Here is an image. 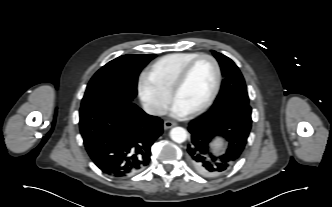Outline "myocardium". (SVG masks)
Wrapping results in <instances>:
<instances>
[{
	"mask_svg": "<svg viewBox=\"0 0 332 207\" xmlns=\"http://www.w3.org/2000/svg\"><path fill=\"white\" fill-rule=\"evenodd\" d=\"M201 59H208L212 62L214 68H215V84L213 87V90L210 94V96L208 97V99L199 107H197L196 109L188 112V114L190 116H196L199 115L201 113H203L204 111H206L215 101L219 91H220V87H221V82H222V71H221V66L218 62V60L209 54H199L198 56H196L195 58L191 59L179 72V74L177 75L172 87H171V99L174 101L177 92L180 90V88L183 86V84L185 83L192 67Z\"/></svg>",
	"mask_w": 332,
	"mask_h": 207,
	"instance_id": "obj_1",
	"label": "myocardium"
}]
</instances>
